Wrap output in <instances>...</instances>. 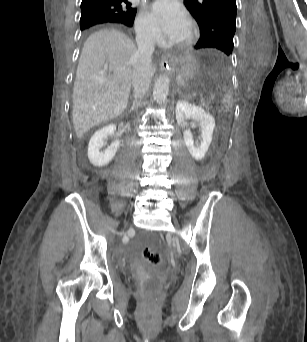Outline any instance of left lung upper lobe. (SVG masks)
Segmentation results:
<instances>
[{
    "mask_svg": "<svg viewBox=\"0 0 307 342\" xmlns=\"http://www.w3.org/2000/svg\"><path fill=\"white\" fill-rule=\"evenodd\" d=\"M184 4L200 28L195 49L216 48L231 55L236 30V0H184Z\"/></svg>",
    "mask_w": 307,
    "mask_h": 342,
    "instance_id": "left-lung-upper-lobe-1",
    "label": "left lung upper lobe"
}]
</instances>
